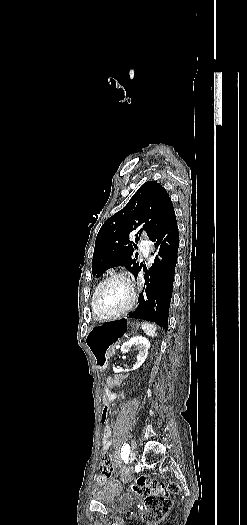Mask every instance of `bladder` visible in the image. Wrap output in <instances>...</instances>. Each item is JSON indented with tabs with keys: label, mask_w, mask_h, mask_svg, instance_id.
Segmentation results:
<instances>
[{
	"label": "bladder",
	"mask_w": 247,
	"mask_h": 525,
	"mask_svg": "<svg viewBox=\"0 0 247 525\" xmlns=\"http://www.w3.org/2000/svg\"><path fill=\"white\" fill-rule=\"evenodd\" d=\"M137 498L126 493H120L117 496H108L105 502L106 508L112 513H124L137 506Z\"/></svg>",
	"instance_id": "bladder-1"
}]
</instances>
